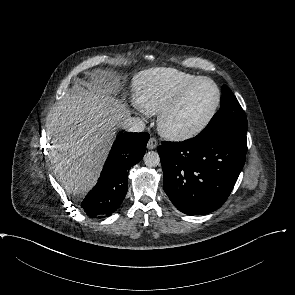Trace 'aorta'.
<instances>
[{"label":"aorta","instance_id":"1","mask_svg":"<svg viewBox=\"0 0 295 295\" xmlns=\"http://www.w3.org/2000/svg\"><path fill=\"white\" fill-rule=\"evenodd\" d=\"M144 163L148 167H156L160 164L159 154L155 151H149L144 155Z\"/></svg>","mask_w":295,"mask_h":295}]
</instances>
